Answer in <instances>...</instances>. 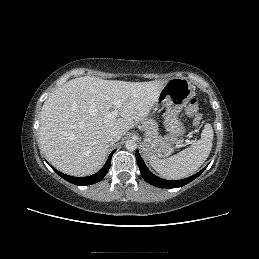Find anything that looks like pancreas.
<instances>
[{
  "instance_id": "pancreas-1",
  "label": "pancreas",
  "mask_w": 259,
  "mask_h": 259,
  "mask_svg": "<svg viewBox=\"0 0 259 259\" xmlns=\"http://www.w3.org/2000/svg\"><path fill=\"white\" fill-rule=\"evenodd\" d=\"M142 128L145 130V134L152 136L154 138H159L160 136L158 135V125L155 121L149 119L147 121H144L142 123Z\"/></svg>"
}]
</instances>
